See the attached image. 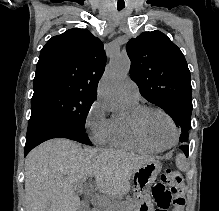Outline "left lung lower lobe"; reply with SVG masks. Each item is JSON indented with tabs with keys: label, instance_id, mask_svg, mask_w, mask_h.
<instances>
[{
	"label": "left lung lower lobe",
	"instance_id": "obj_1",
	"mask_svg": "<svg viewBox=\"0 0 219 211\" xmlns=\"http://www.w3.org/2000/svg\"><path fill=\"white\" fill-rule=\"evenodd\" d=\"M180 149L185 153V155L188 157L189 153V147L187 145L180 146Z\"/></svg>",
	"mask_w": 219,
	"mask_h": 211
}]
</instances>
